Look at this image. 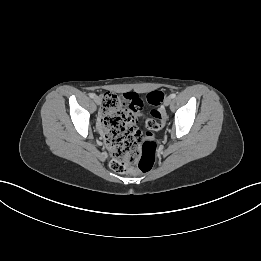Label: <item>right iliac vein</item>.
Listing matches in <instances>:
<instances>
[{
	"label": "right iliac vein",
	"mask_w": 261,
	"mask_h": 261,
	"mask_svg": "<svg viewBox=\"0 0 261 261\" xmlns=\"http://www.w3.org/2000/svg\"><path fill=\"white\" fill-rule=\"evenodd\" d=\"M94 101L97 105H100L101 103V99L98 96L94 97Z\"/></svg>",
	"instance_id": "right-iliac-vein-1"
}]
</instances>
